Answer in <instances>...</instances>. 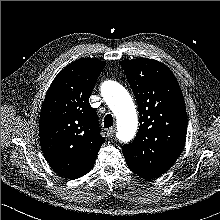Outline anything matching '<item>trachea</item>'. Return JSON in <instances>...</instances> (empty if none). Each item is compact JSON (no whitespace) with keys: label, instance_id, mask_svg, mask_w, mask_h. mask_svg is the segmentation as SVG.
<instances>
[{"label":"trachea","instance_id":"3493384b","mask_svg":"<svg viewBox=\"0 0 220 220\" xmlns=\"http://www.w3.org/2000/svg\"><path fill=\"white\" fill-rule=\"evenodd\" d=\"M113 126V117L111 114H107L104 118V128H109Z\"/></svg>","mask_w":220,"mask_h":220}]
</instances>
